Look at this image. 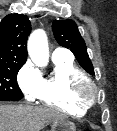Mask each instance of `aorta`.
Segmentation results:
<instances>
[{"label":"aorta","instance_id":"762f6f07","mask_svg":"<svg viewBox=\"0 0 117 131\" xmlns=\"http://www.w3.org/2000/svg\"><path fill=\"white\" fill-rule=\"evenodd\" d=\"M28 54L35 65L44 67L49 61L48 39L44 30H34L27 43Z\"/></svg>","mask_w":117,"mask_h":131}]
</instances>
